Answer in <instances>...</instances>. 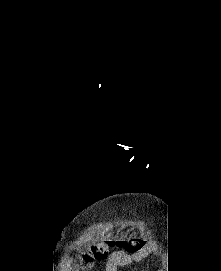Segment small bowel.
<instances>
[{
  "label": "small bowel",
  "mask_w": 221,
  "mask_h": 271,
  "mask_svg": "<svg viewBox=\"0 0 221 271\" xmlns=\"http://www.w3.org/2000/svg\"><path fill=\"white\" fill-rule=\"evenodd\" d=\"M152 249V246H147L131 254L122 251L114 252L107 262L106 271H117L119 267H126L135 262H139L147 257Z\"/></svg>",
  "instance_id": "1"
}]
</instances>
